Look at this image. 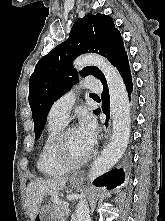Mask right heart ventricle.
<instances>
[{"instance_id":"e07e8e85","label":"right heart ventricle","mask_w":165,"mask_h":221,"mask_svg":"<svg viewBox=\"0 0 165 221\" xmlns=\"http://www.w3.org/2000/svg\"><path fill=\"white\" fill-rule=\"evenodd\" d=\"M65 123L48 121L46 133L40 149L37 166L39 171L46 176H60L69 169L61 166L54 156V144L57 135L63 129Z\"/></svg>"}]
</instances>
